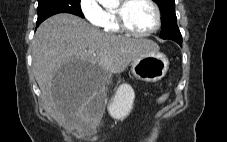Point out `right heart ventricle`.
<instances>
[{
    "label": "right heart ventricle",
    "instance_id": "right-heart-ventricle-1",
    "mask_svg": "<svg viewBox=\"0 0 227 142\" xmlns=\"http://www.w3.org/2000/svg\"><path fill=\"white\" fill-rule=\"evenodd\" d=\"M99 26L104 32L109 34H119L122 31L117 25L114 10L112 9L104 10L103 19Z\"/></svg>",
    "mask_w": 227,
    "mask_h": 142
}]
</instances>
